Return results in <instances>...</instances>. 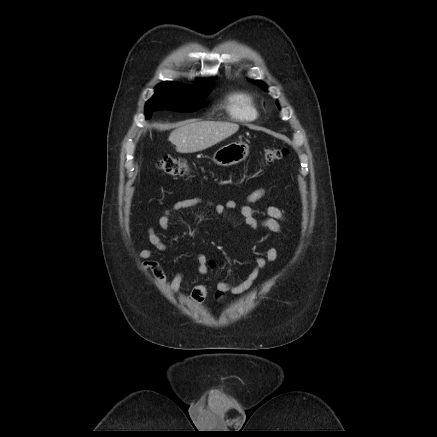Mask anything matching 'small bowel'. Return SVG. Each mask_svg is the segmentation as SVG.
Instances as JSON below:
<instances>
[{
	"mask_svg": "<svg viewBox=\"0 0 437 437\" xmlns=\"http://www.w3.org/2000/svg\"><path fill=\"white\" fill-rule=\"evenodd\" d=\"M267 193L265 188H258L250 193L246 199V202L239 206L236 201L229 200L224 204L214 203L211 201H205L199 197H193L176 202L171 208L166 209L158 219V225L163 230H169L170 228V216L172 213L193 208L200 205H205L212 209L217 215L224 214L227 210L238 211L242 216L244 223L251 229H266L273 233H280L282 230L281 223L285 220L283 211L276 206H268L263 210H259L253 206L254 203L261 200ZM261 217V218H260ZM147 237L151 245L157 251H165L167 249L166 244L163 242L160 235L156 232L155 228L149 227L147 230ZM154 250L144 249L140 251L139 258L143 261V267L146 270L151 271L155 280L162 286L166 287L171 292H178L183 282V275L181 273L176 274L173 278L169 279L160 264V262L153 258ZM278 258V251L274 247H269L265 250L263 255L257 256L254 259L253 267L249 272L246 279L238 284H231L226 281H220L217 284L216 298L221 299L227 292L232 294H242L252 287L260 272L266 268L269 263L274 262ZM213 264L203 254L197 256V269L201 275H205L208 272L209 267ZM207 294V288L205 285L200 284L195 286L189 296V299L193 303L202 302Z\"/></svg>",
	"mask_w": 437,
	"mask_h": 437,
	"instance_id": "1",
	"label": "small bowel"
}]
</instances>
